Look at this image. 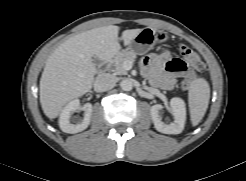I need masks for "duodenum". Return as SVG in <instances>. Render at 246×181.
Instances as JSON below:
<instances>
[{
    "mask_svg": "<svg viewBox=\"0 0 246 181\" xmlns=\"http://www.w3.org/2000/svg\"><path fill=\"white\" fill-rule=\"evenodd\" d=\"M109 65V61H104L103 64L101 65V68L99 70L100 73H104L106 72L107 68Z\"/></svg>",
    "mask_w": 246,
    "mask_h": 181,
    "instance_id": "1",
    "label": "duodenum"
}]
</instances>
